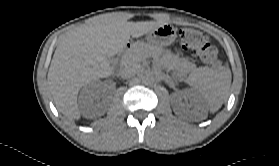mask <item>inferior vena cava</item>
Listing matches in <instances>:
<instances>
[{
  "label": "inferior vena cava",
  "instance_id": "1",
  "mask_svg": "<svg viewBox=\"0 0 279 166\" xmlns=\"http://www.w3.org/2000/svg\"><path fill=\"white\" fill-rule=\"evenodd\" d=\"M136 74V70L133 68H124L120 71L119 75L122 79L131 78Z\"/></svg>",
  "mask_w": 279,
  "mask_h": 166
}]
</instances>
